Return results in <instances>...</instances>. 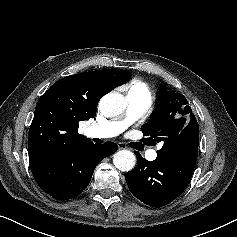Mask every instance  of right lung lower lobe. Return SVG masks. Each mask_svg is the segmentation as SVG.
<instances>
[{
  "label": "right lung lower lobe",
  "instance_id": "1",
  "mask_svg": "<svg viewBox=\"0 0 237 237\" xmlns=\"http://www.w3.org/2000/svg\"><path fill=\"white\" fill-rule=\"evenodd\" d=\"M117 151L113 142L80 141L30 161L40 188L58 200L78 196L89 184L95 167Z\"/></svg>",
  "mask_w": 237,
  "mask_h": 237
}]
</instances>
